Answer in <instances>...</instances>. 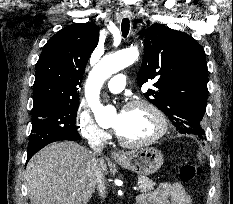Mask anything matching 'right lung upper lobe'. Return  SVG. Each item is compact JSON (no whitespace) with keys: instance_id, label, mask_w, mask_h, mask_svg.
<instances>
[{"instance_id":"obj_1","label":"right lung upper lobe","mask_w":233,"mask_h":204,"mask_svg":"<svg viewBox=\"0 0 233 204\" xmlns=\"http://www.w3.org/2000/svg\"><path fill=\"white\" fill-rule=\"evenodd\" d=\"M98 39L99 29L93 23L69 25L50 38L36 64L33 108L79 101L77 86Z\"/></svg>"}]
</instances>
